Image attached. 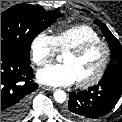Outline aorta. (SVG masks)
<instances>
[{
	"label": "aorta",
	"instance_id": "762f6f07",
	"mask_svg": "<svg viewBox=\"0 0 122 122\" xmlns=\"http://www.w3.org/2000/svg\"><path fill=\"white\" fill-rule=\"evenodd\" d=\"M53 96L54 100L58 103H63L66 100V93L63 90H56Z\"/></svg>",
	"mask_w": 122,
	"mask_h": 122
}]
</instances>
